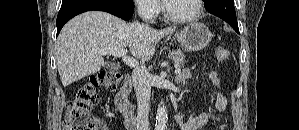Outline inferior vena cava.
<instances>
[{
  "instance_id": "1",
  "label": "inferior vena cava",
  "mask_w": 299,
  "mask_h": 130,
  "mask_svg": "<svg viewBox=\"0 0 299 130\" xmlns=\"http://www.w3.org/2000/svg\"><path fill=\"white\" fill-rule=\"evenodd\" d=\"M148 27V25H144ZM132 80L137 97V124L136 130H149V102L151 86L149 83V72L144 65L136 67L132 72Z\"/></svg>"
}]
</instances>
